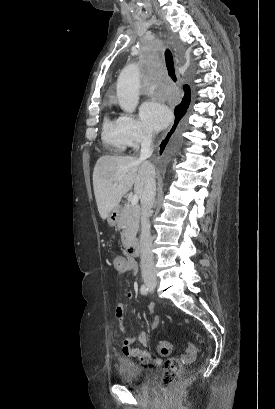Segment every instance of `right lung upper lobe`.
Listing matches in <instances>:
<instances>
[{"mask_svg":"<svg viewBox=\"0 0 275 409\" xmlns=\"http://www.w3.org/2000/svg\"><path fill=\"white\" fill-rule=\"evenodd\" d=\"M184 91H185V95H184V97H183V99H182V102H181L180 104L186 102L188 99L191 98L190 88H189L188 85H184ZM180 104H179V105H180Z\"/></svg>","mask_w":275,"mask_h":409,"instance_id":"obj_1","label":"right lung upper lobe"}]
</instances>
